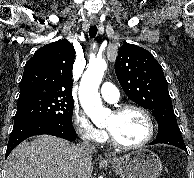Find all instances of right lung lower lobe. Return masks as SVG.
I'll use <instances>...</instances> for the list:
<instances>
[{
    "mask_svg": "<svg viewBox=\"0 0 194 178\" xmlns=\"http://www.w3.org/2000/svg\"><path fill=\"white\" fill-rule=\"evenodd\" d=\"M49 134L74 141L76 133L73 126H60L40 120H28L14 123L5 157L23 140L34 135Z\"/></svg>",
    "mask_w": 194,
    "mask_h": 178,
    "instance_id": "obj_1",
    "label": "right lung lower lobe"
}]
</instances>
